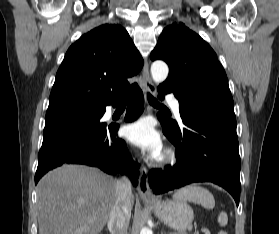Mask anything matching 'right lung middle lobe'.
<instances>
[{"label":"right lung middle lobe","instance_id":"right-lung-middle-lobe-1","mask_svg":"<svg viewBox=\"0 0 279 234\" xmlns=\"http://www.w3.org/2000/svg\"><path fill=\"white\" fill-rule=\"evenodd\" d=\"M101 110L102 108L75 105L51 108L46 112L45 127L64 122L95 120Z\"/></svg>","mask_w":279,"mask_h":234}]
</instances>
